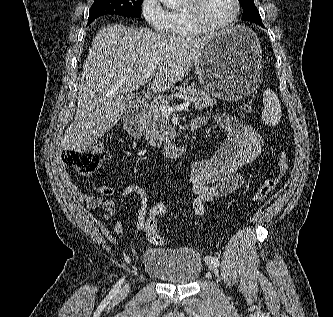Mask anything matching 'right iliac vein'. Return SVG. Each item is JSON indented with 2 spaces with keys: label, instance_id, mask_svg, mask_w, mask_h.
I'll return each instance as SVG.
<instances>
[{
  "label": "right iliac vein",
  "instance_id": "63e3f726",
  "mask_svg": "<svg viewBox=\"0 0 333 317\" xmlns=\"http://www.w3.org/2000/svg\"><path fill=\"white\" fill-rule=\"evenodd\" d=\"M130 290V286L129 285H125L118 293L117 297L118 298H124L126 297V295L128 294Z\"/></svg>",
  "mask_w": 333,
  "mask_h": 317
}]
</instances>
